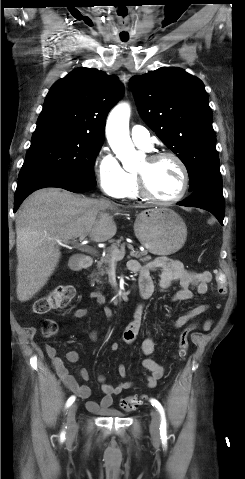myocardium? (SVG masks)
Returning <instances> with one entry per match:
<instances>
[{
	"label": "myocardium",
	"mask_w": 245,
	"mask_h": 479,
	"mask_svg": "<svg viewBox=\"0 0 245 479\" xmlns=\"http://www.w3.org/2000/svg\"><path fill=\"white\" fill-rule=\"evenodd\" d=\"M164 158L172 159L173 161L176 162V164L180 168L181 176H182V182H181V187H180V190L178 191V193L174 197H172L170 199H166V200L156 197L149 190L148 184H147V178H146L145 173H143V172H136L137 189H138V193H139L140 197L145 199L146 201H148L150 203H154V204H158V205H172V204L180 201L185 196V194L188 190V187H189V180H190L189 171H188V168H187L185 162L182 160V158L179 155H177L176 153L171 152V151H160V152L152 153L147 157V162L149 164H152V163H155V162H157L161 159H164Z\"/></svg>",
	"instance_id": "myocardium-1"
}]
</instances>
